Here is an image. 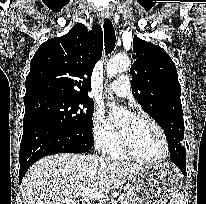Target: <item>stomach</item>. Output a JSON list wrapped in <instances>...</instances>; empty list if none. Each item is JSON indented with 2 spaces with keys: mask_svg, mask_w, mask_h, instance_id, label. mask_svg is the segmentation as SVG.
<instances>
[{
  "mask_svg": "<svg viewBox=\"0 0 206 204\" xmlns=\"http://www.w3.org/2000/svg\"><path fill=\"white\" fill-rule=\"evenodd\" d=\"M129 188L135 196L133 204H166L181 186V174L169 163L141 166Z\"/></svg>",
  "mask_w": 206,
  "mask_h": 204,
  "instance_id": "obj_1",
  "label": "stomach"
}]
</instances>
